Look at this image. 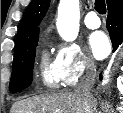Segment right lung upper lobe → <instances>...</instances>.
Instances as JSON below:
<instances>
[{"instance_id": "right-lung-upper-lobe-1", "label": "right lung upper lobe", "mask_w": 123, "mask_h": 113, "mask_svg": "<svg viewBox=\"0 0 123 113\" xmlns=\"http://www.w3.org/2000/svg\"><path fill=\"white\" fill-rule=\"evenodd\" d=\"M49 4L50 0H32L30 2L19 25L15 49L29 39L39 36L38 26L45 16Z\"/></svg>"}]
</instances>
